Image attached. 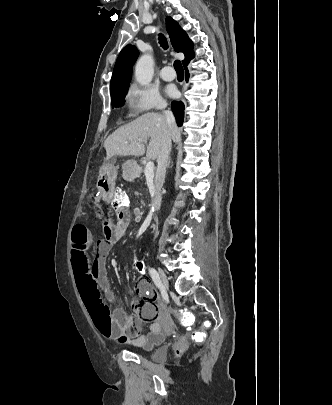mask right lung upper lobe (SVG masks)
Returning a JSON list of instances; mask_svg holds the SVG:
<instances>
[{"label": "right lung upper lobe", "mask_w": 332, "mask_h": 405, "mask_svg": "<svg viewBox=\"0 0 332 405\" xmlns=\"http://www.w3.org/2000/svg\"><path fill=\"white\" fill-rule=\"evenodd\" d=\"M166 29L174 50L176 52H182L185 55L183 65L188 63L194 57L192 41L189 39L186 32L183 31L178 23L171 17H166ZM138 54L137 48L132 45H127L122 49L115 63L110 85L111 89L120 83L131 80L132 66Z\"/></svg>", "instance_id": "cb5924a9"}]
</instances>
